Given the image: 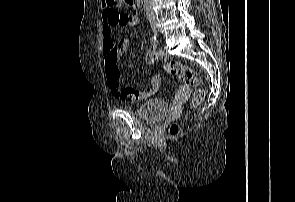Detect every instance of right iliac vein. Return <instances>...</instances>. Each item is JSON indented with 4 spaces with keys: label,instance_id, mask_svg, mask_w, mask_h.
<instances>
[{
    "label": "right iliac vein",
    "instance_id": "1",
    "mask_svg": "<svg viewBox=\"0 0 295 202\" xmlns=\"http://www.w3.org/2000/svg\"><path fill=\"white\" fill-rule=\"evenodd\" d=\"M151 27H152V31H153L155 34H157L158 31H159V29H158V27H157V25H156L155 22H153V23L151 24Z\"/></svg>",
    "mask_w": 295,
    "mask_h": 202
}]
</instances>
